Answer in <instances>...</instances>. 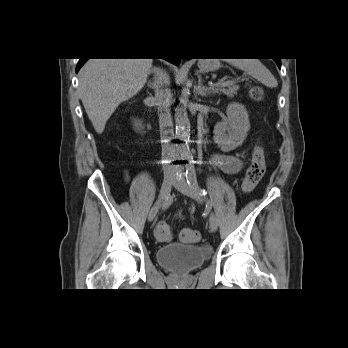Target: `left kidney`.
Returning a JSON list of instances; mask_svg holds the SVG:
<instances>
[{
	"mask_svg": "<svg viewBox=\"0 0 348 348\" xmlns=\"http://www.w3.org/2000/svg\"><path fill=\"white\" fill-rule=\"evenodd\" d=\"M227 119L214 127V142L223 152H230L241 146L250 130L246 108L239 103H231L226 110Z\"/></svg>",
	"mask_w": 348,
	"mask_h": 348,
	"instance_id": "left-kidney-1",
	"label": "left kidney"
}]
</instances>
